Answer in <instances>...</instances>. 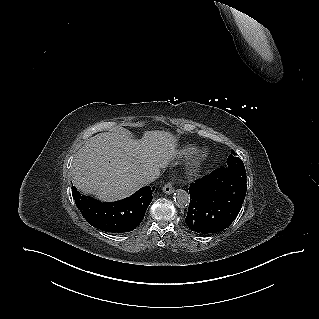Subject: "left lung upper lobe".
<instances>
[{
	"mask_svg": "<svg viewBox=\"0 0 319 319\" xmlns=\"http://www.w3.org/2000/svg\"><path fill=\"white\" fill-rule=\"evenodd\" d=\"M227 167L233 168H245L242 160L236 156V153L232 152L227 158Z\"/></svg>",
	"mask_w": 319,
	"mask_h": 319,
	"instance_id": "left-lung-upper-lobe-1",
	"label": "left lung upper lobe"
}]
</instances>
